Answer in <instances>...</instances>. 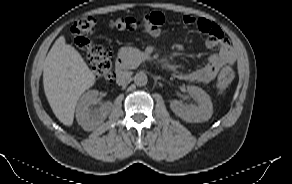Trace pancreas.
Instances as JSON below:
<instances>
[{"label": "pancreas", "mask_w": 292, "mask_h": 184, "mask_svg": "<svg viewBox=\"0 0 292 184\" xmlns=\"http://www.w3.org/2000/svg\"><path fill=\"white\" fill-rule=\"evenodd\" d=\"M119 56L122 59V66L126 69H134L139 66L144 54L136 48L122 47L119 50Z\"/></svg>", "instance_id": "1"}]
</instances>
